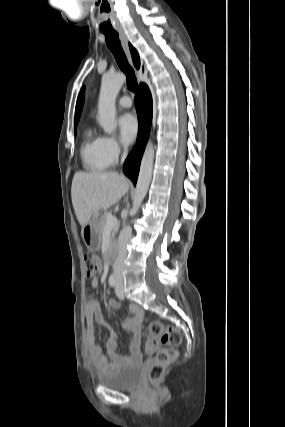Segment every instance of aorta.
<instances>
[{
    "instance_id": "obj_1",
    "label": "aorta",
    "mask_w": 285,
    "mask_h": 427,
    "mask_svg": "<svg viewBox=\"0 0 285 427\" xmlns=\"http://www.w3.org/2000/svg\"><path fill=\"white\" fill-rule=\"evenodd\" d=\"M125 82V75L117 73L114 75H104L101 81V89L98 100V122L103 130L111 134L116 130V98ZM154 164V147L151 141L148 142L142 157L140 171L138 175L135 196L131 214H136L143 202L152 178Z\"/></svg>"
}]
</instances>
